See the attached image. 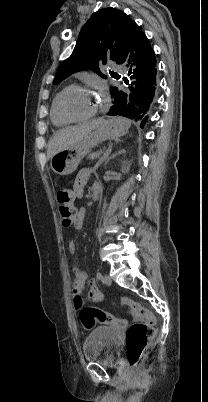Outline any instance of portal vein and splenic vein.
Segmentation results:
<instances>
[{"instance_id":"18ae733b","label":"portal vein and splenic vein","mask_w":208,"mask_h":402,"mask_svg":"<svg viewBox=\"0 0 208 402\" xmlns=\"http://www.w3.org/2000/svg\"><path fill=\"white\" fill-rule=\"evenodd\" d=\"M107 151L106 152H104L103 154H100V156L98 155V154H95V155H93V156H90V159H93V160H99L100 159V157H107L108 155H110L111 154V152H112V145L111 144H108L107 145Z\"/></svg>"}]
</instances>
